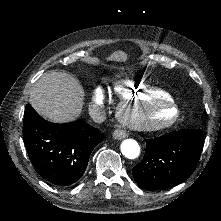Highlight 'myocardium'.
I'll use <instances>...</instances> for the list:
<instances>
[{
  "instance_id": "myocardium-1",
  "label": "myocardium",
  "mask_w": 221,
  "mask_h": 221,
  "mask_svg": "<svg viewBox=\"0 0 221 221\" xmlns=\"http://www.w3.org/2000/svg\"><path fill=\"white\" fill-rule=\"evenodd\" d=\"M162 97L156 101L142 100H126L124 103L116 102L114 104L115 116L128 128H137L141 130H163L173 126L181 116V109L179 101L173 103H163ZM169 106L168 114L165 117L157 118L152 116L148 119L151 111L150 107L153 106ZM150 110V111H149Z\"/></svg>"
}]
</instances>
